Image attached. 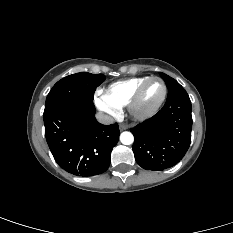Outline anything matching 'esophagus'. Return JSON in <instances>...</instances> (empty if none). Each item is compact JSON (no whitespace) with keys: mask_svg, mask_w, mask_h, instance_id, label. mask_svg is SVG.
Masks as SVG:
<instances>
[{"mask_svg":"<svg viewBox=\"0 0 233 233\" xmlns=\"http://www.w3.org/2000/svg\"><path fill=\"white\" fill-rule=\"evenodd\" d=\"M119 129H120V131L126 130V129H127V126L124 125V124H121V125L119 126Z\"/></svg>","mask_w":233,"mask_h":233,"instance_id":"34e87169","label":"esophagus"}]
</instances>
